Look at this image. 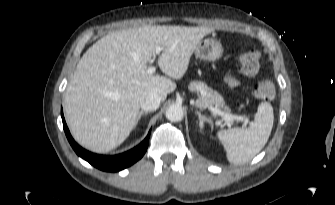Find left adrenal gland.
I'll list each match as a JSON object with an SVG mask.
<instances>
[{
	"instance_id": "obj_1",
	"label": "left adrenal gland",
	"mask_w": 335,
	"mask_h": 205,
	"mask_svg": "<svg viewBox=\"0 0 335 205\" xmlns=\"http://www.w3.org/2000/svg\"><path fill=\"white\" fill-rule=\"evenodd\" d=\"M196 115H198L199 118V125L201 128H203L204 122H211V119L206 117L205 115L201 114L198 110L195 111Z\"/></svg>"
}]
</instances>
